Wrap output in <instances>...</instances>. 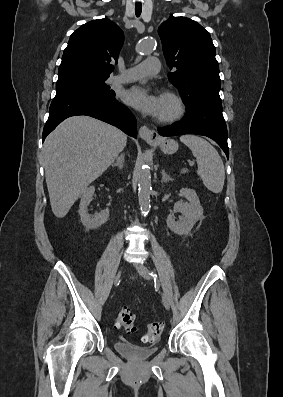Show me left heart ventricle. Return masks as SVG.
Here are the masks:
<instances>
[{"label":"left heart ventricle","mask_w":283,"mask_h":397,"mask_svg":"<svg viewBox=\"0 0 283 397\" xmlns=\"http://www.w3.org/2000/svg\"><path fill=\"white\" fill-rule=\"evenodd\" d=\"M174 110V104L171 100L161 97V108L158 117L165 116L172 113Z\"/></svg>","instance_id":"b2bd125f"}]
</instances>
